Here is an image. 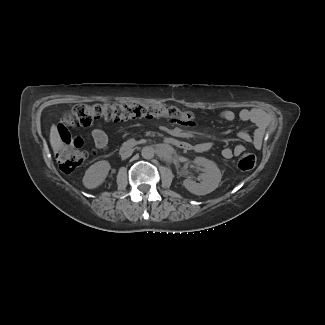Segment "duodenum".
I'll use <instances>...</instances> for the list:
<instances>
[{"instance_id":"obj_1","label":"duodenum","mask_w":325,"mask_h":325,"mask_svg":"<svg viewBox=\"0 0 325 325\" xmlns=\"http://www.w3.org/2000/svg\"><path fill=\"white\" fill-rule=\"evenodd\" d=\"M165 143L170 145V146L180 148V149H185L186 150V149L190 148V144L188 142L177 139V138H174V137H167L165 139ZM133 146H134L133 141H126L125 143H123L122 149L124 151H127V150L131 149Z\"/></svg>"}]
</instances>
